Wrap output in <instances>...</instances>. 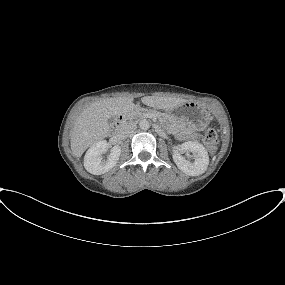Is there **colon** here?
Returning a JSON list of instances; mask_svg holds the SVG:
<instances>
[{
	"mask_svg": "<svg viewBox=\"0 0 285 285\" xmlns=\"http://www.w3.org/2000/svg\"><path fill=\"white\" fill-rule=\"evenodd\" d=\"M203 140L207 148L210 151H214L218 144L217 132L212 128L207 129L204 133Z\"/></svg>",
	"mask_w": 285,
	"mask_h": 285,
	"instance_id": "obj_1",
	"label": "colon"
}]
</instances>
